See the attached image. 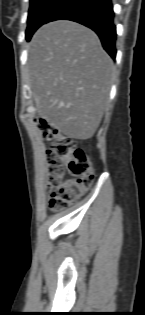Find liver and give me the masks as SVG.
Here are the masks:
<instances>
[{
	"instance_id": "6515ba94",
	"label": "liver",
	"mask_w": 145,
	"mask_h": 315,
	"mask_svg": "<svg viewBox=\"0 0 145 315\" xmlns=\"http://www.w3.org/2000/svg\"><path fill=\"white\" fill-rule=\"evenodd\" d=\"M28 62L39 115L69 138H91L108 104L114 71L98 36L72 21L45 24L31 40Z\"/></svg>"
}]
</instances>
